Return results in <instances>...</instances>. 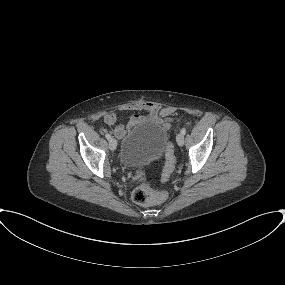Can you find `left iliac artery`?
<instances>
[{
	"instance_id": "left-iliac-artery-1",
	"label": "left iliac artery",
	"mask_w": 285,
	"mask_h": 285,
	"mask_svg": "<svg viewBox=\"0 0 285 285\" xmlns=\"http://www.w3.org/2000/svg\"><path fill=\"white\" fill-rule=\"evenodd\" d=\"M181 134L185 135L186 134V129L183 128L181 131H180Z\"/></svg>"
}]
</instances>
